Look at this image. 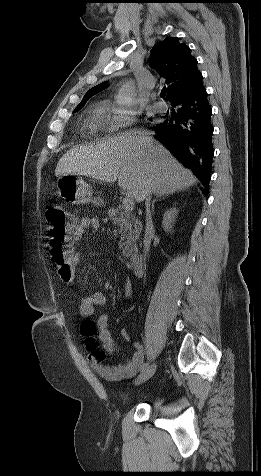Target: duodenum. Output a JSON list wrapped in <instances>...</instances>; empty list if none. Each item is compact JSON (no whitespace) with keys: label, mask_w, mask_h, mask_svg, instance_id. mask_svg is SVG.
Segmentation results:
<instances>
[{"label":"duodenum","mask_w":261,"mask_h":476,"mask_svg":"<svg viewBox=\"0 0 261 476\" xmlns=\"http://www.w3.org/2000/svg\"><path fill=\"white\" fill-rule=\"evenodd\" d=\"M130 263L132 267V271L135 276H140L142 275L144 271V258L141 253H134L130 257Z\"/></svg>","instance_id":"obj_1"}]
</instances>
